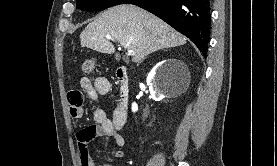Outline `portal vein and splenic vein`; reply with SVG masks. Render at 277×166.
Segmentation results:
<instances>
[{
    "mask_svg": "<svg viewBox=\"0 0 277 166\" xmlns=\"http://www.w3.org/2000/svg\"><path fill=\"white\" fill-rule=\"evenodd\" d=\"M106 39L110 40V39H112V38H111V36L107 35V36H106ZM128 54H129V55H134V52H133L132 50H128Z\"/></svg>",
    "mask_w": 277,
    "mask_h": 166,
    "instance_id": "1",
    "label": "portal vein and splenic vein"
}]
</instances>
